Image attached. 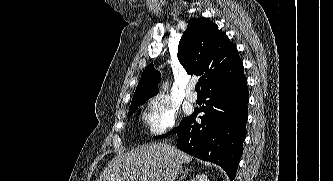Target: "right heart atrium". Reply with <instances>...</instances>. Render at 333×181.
Listing matches in <instances>:
<instances>
[{
	"label": "right heart atrium",
	"mask_w": 333,
	"mask_h": 181,
	"mask_svg": "<svg viewBox=\"0 0 333 181\" xmlns=\"http://www.w3.org/2000/svg\"><path fill=\"white\" fill-rule=\"evenodd\" d=\"M177 114V107L166 96L151 99L145 115V122L150 133L157 136L172 129Z\"/></svg>",
	"instance_id": "right-heart-atrium-1"
}]
</instances>
